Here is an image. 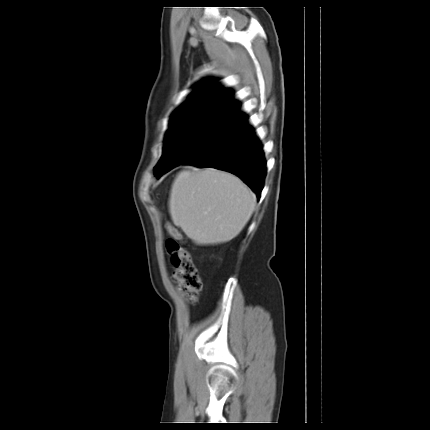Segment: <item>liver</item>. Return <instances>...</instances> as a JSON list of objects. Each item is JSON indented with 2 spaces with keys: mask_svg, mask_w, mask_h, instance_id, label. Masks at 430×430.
<instances>
[{
  "mask_svg": "<svg viewBox=\"0 0 430 430\" xmlns=\"http://www.w3.org/2000/svg\"><path fill=\"white\" fill-rule=\"evenodd\" d=\"M256 206L255 194L235 175L190 167L176 177L169 200L175 226L196 244H220L235 238Z\"/></svg>",
  "mask_w": 430,
  "mask_h": 430,
  "instance_id": "1",
  "label": "liver"
}]
</instances>
